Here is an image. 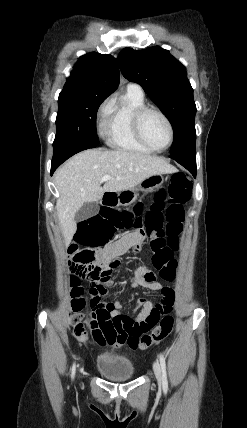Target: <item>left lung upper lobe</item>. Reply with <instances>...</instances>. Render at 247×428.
I'll return each mask as SVG.
<instances>
[{"label":"left lung upper lobe","mask_w":247,"mask_h":428,"mask_svg":"<svg viewBox=\"0 0 247 428\" xmlns=\"http://www.w3.org/2000/svg\"><path fill=\"white\" fill-rule=\"evenodd\" d=\"M118 62L123 76L140 84L170 120L175 132L171 155H195L196 105L184 66L158 46L144 50L124 48Z\"/></svg>","instance_id":"left-lung-upper-lobe-1"}]
</instances>
